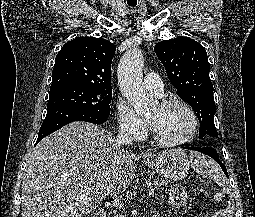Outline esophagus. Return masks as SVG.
<instances>
[{
    "instance_id": "1",
    "label": "esophagus",
    "mask_w": 255,
    "mask_h": 217,
    "mask_svg": "<svg viewBox=\"0 0 255 217\" xmlns=\"http://www.w3.org/2000/svg\"><path fill=\"white\" fill-rule=\"evenodd\" d=\"M141 156H142L143 158H146V157H148V154H147V153H142Z\"/></svg>"
}]
</instances>
